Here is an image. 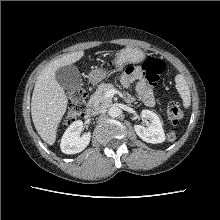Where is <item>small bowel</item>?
I'll return each instance as SVG.
<instances>
[{"instance_id": "obj_1", "label": "small bowel", "mask_w": 220, "mask_h": 220, "mask_svg": "<svg viewBox=\"0 0 220 220\" xmlns=\"http://www.w3.org/2000/svg\"><path fill=\"white\" fill-rule=\"evenodd\" d=\"M134 81L136 84L137 97L144 102L146 105L151 106L154 104V95L150 84L144 78L143 73L139 67H128L121 76V83L128 87ZM125 100L133 101L134 97L130 93H125Z\"/></svg>"}]
</instances>
